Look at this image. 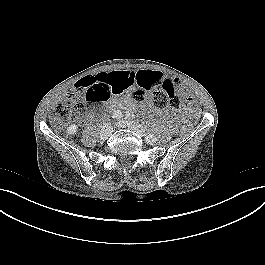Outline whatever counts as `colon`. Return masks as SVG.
Wrapping results in <instances>:
<instances>
[{"mask_svg": "<svg viewBox=\"0 0 265 265\" xmlns=\"http://www.w3.org/2000/svg\"><path fill=\"white\" fill-rule=\"evenodd\" d=\"M182 81L179 78H166L160 88L153 91L151 102L154 107L164 109L167 106L179 108L181 105L188 113L195 114L201 110L202 104L197 95L189 90L183 89ZM112 94L109 87V77L86 76L78 80L51 111V118L57 122L67 121L73 110L77 107L79 99L95 103L107 100ZM132 99L141 104L146 99L145 89H137L132 93Z\"/></svg>", "mask_w": 265, "mask_h": 265, "instance_id": "colon-1", "label": "colon"}]
</instances>
